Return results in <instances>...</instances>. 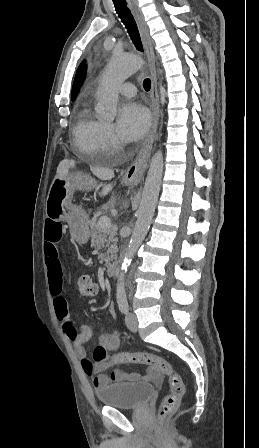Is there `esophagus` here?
I'll use <instances>...</instances> for the list:
<instances>
[{
  "label": "esophagus",
  "instance_id": "34e87169",
  "mask_svg": "<svg viewBox=\"0 0 259 448\" xmlns=\"http://www.w3.org/2000/svg\"><path fill=\"white\" fill-rule=\"evenodd\" d=\"M127 2L140 30L143 45L145 47L146 55L149 60L150 76L152 80V88H151L152 127L136 159L127 168L126 173L124 175V180H126L129 183L137 184L140 182L146 170L151 149L154 140L156 138L157 126L159 121V94L157 89L155 54L148 26L144 20L141 9L138 6L137 0H127Z\"/></svg>",
  "mask_w": 259,
  "mask_h": 448
}]
</instances>
